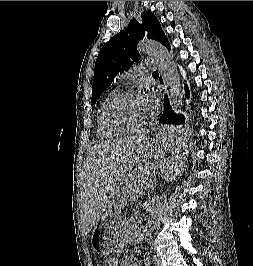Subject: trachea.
I'll list each match as a JSON object with an SVG mask.
<instances>
[{
  "mask_svg": "<svg viewBox=\"0 0 253 266\" xmlns=\"http://www.w3.org/2000/svg\"><path fill=\"white\" fill-rule=\"evenodd\" d=\"M152 75H158V72H157V71H154V72L152 73Z\"/></svg>",
  "mask_w": 253,
  "mask_h": 266,
  "instance_id": "1",
  "label": "trachea"
}]
</instances>
